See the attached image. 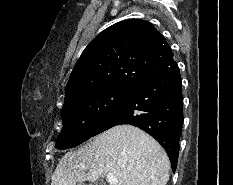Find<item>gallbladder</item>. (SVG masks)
I'll use <instances>...</instances> for the list:
<instances>
[{
    "instance_id": "bac80fb5",
    "label": "gallbladder",
    "mask_w": 233,
    "mask_h": 185,
    "mask_svg": "<svg viewBox=\"0 0 233 185\" xmlns=\"http://www.w3.org/2000/svg\"><path fill=\"white\" fill-rule=\"evenodd\" d=\"M93 185H104V184L100 181H96Z\"/></svg>"
}]
</instances>
